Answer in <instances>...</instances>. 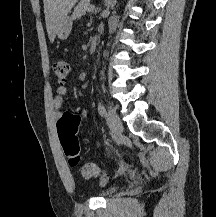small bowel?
Returning <instances> with one entry per match:
<instances>
[{
  "label": "small bowel",
  "instance_id": "c3829d8e",
  "mask_svg": "<svg viewBox=\"0 0 216 217\" xmlns=\"http://www.w3.org/2000/svg\"><path fill=\"white\" fill-rule=\"evenodd\" d=\"M68 93V88L65 86H59L57 89V94L53 97L52 100V104H53V108H54V112H53V116L55 121L58 123V121L62 118V116L64 115L61 112V107L63 104V99L64 96ZM87 110H83L82 111V115L83 117H87Z\"/></svg>",
  "mask_w": 216,
  "mask_h": 217
}]
</instances>
